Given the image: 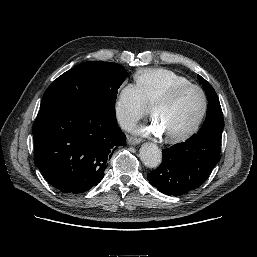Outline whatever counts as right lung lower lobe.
Instances as JSON below:
<instances>
[{
	"label": "right lung lower lobe",
	"instance_id": "right-lung-lower-lobe-1",
	"mask_svg": "<svg viewBox=\"0 0 257 257\" xmlns=\"http://www.w3.org/2000/svg\"><path fill=\"white\" fill-rule=\"evenodd\" d=\"M33 138L36 166L64 193H82L96 186L112 153L126 141L115 113L80 102L40 109Z\"/></svg>",
	"mask_w": 257,
	"mask_h": 257
}]
</instances>
